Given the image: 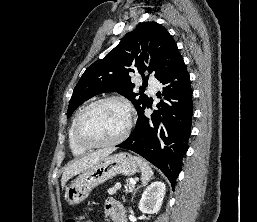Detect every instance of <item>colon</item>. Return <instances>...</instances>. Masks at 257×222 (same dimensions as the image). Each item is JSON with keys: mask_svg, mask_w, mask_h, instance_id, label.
<instances>
[{"mask_svg": "<svg viewBox=\"0 0 257 222\" xmlns=\"http://www.w3.org/2000/svg\"><path fill=\"white\" fill-rule=\"evenodd\" d=\"M66 222H91V221L83 216H77L67 220Z\"/></svg>", "mask_w": 257, "mask_h": 222, "instance_id": "5ec220e1", "label": "colon"}]
</instances>
